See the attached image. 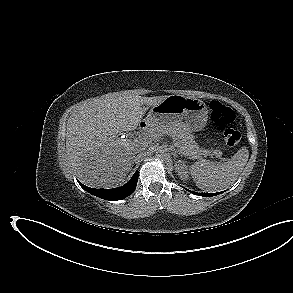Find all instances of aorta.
I'll list each match as a JSON object with an SVG mask.
<instances>
[{
    "instance_id": "1",
    "label": "aorta",
    "mask_w": 293,
    "mask_h": 293,
    "mask_svg": "<svg viewBox=\"0 0 293 293\" xmlns=\"http://www.w3.org/2000/svg\"><path fill=\"white\" fill-rule=\"evenodd\" d=\"M156 155L159 157H163L167 154V148L159 146L156 148Z\"/></svg>"
}]
</instances>
